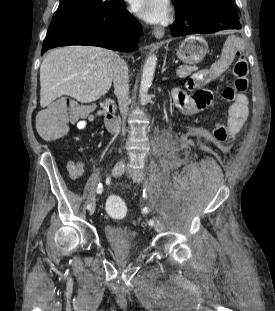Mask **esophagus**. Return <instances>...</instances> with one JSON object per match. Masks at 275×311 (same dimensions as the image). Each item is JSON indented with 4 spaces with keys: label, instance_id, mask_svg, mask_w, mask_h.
<instances>
[{
    "label": "esophagus",
    "instance_id": "obj_1",
    "mask_svg": "<svg viewBox=\"0 0 275 311\" xmlns=\"http://www.w3.org/2000/svg\"><path fill=\"white\" fill-rule=\"evenodd\" d=\"M164 28L162 27H156L155 30H154V36L157 38V39H161L163 36H164Z\"/></svg>",
    "mask_w": 275,
    "mask_h": 311
}]
</instances>
